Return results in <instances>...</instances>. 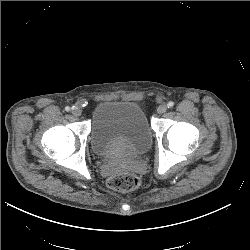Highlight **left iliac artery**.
<instances>
[{"label":"left iliac artery","instance_id":"left-iliac-artery-1","mask_svg":"<svg viewBox=\"0 0 250 250\" xmlns=\"http://www.w3.org/2000/svg\"><path fill=\"white\" fill-rule=\"evenodd\" d=\"M174 106V102L173 101H169L167 104L168 108H172Z\"/></svg>","mask_w":250,"mask_h":250}]
</instances>
